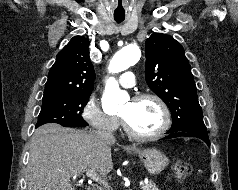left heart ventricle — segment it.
Segmentation results:
<instances>
[{
	"label": "left heart ventricle",
	"instance_id": "b2bd125f",
	"mask_svg": "<svg viewBox=\"0 0 238 190\" xmlns=\"http://www.w3.org/2000/svg\"><path fill=\"white\" fill-rule=\"evenodd\" d=\"M131 128L141 134H151L157 131L163 122L162 112L152 100L127 101L119 112Z\"/></svg>",
	"mask_w": 238,
	"mask_h": 190
}]
</instances>
